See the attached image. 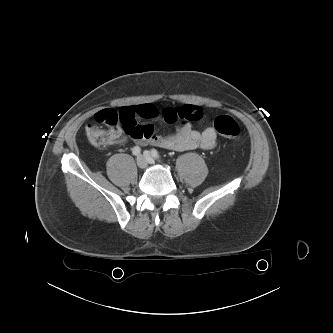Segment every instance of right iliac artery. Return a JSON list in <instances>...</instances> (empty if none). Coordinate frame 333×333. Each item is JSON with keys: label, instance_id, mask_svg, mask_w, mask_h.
Returning a JSON list of instances; mask_svg holds the SVG:
<instances>
[{"label": "right iliac artery", "instance_id": "right-iliac-artery-1", "mask_svg": "<svg viewBox=\"0 0 333 333\" xmlns=\"http://www.w3.org/2000/svg\"><path fill=\"white\" fill-rule=\"evenodd\" d=\"M140 152H141V149H140L139 146H135V147L132 149V153H133L135 156L139 155Z\"/></svg>", "mask_w": 333, "mask_h": 333}]
</instances>
